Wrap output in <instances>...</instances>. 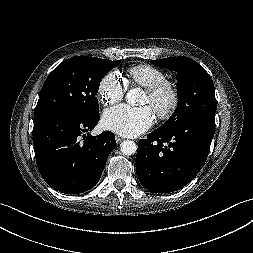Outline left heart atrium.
Here are the masks:
<instances>
[{"instance_id": "left-heart-atrium-1", "label": "left heart atrium", "mask_w": 253, "mask_h": 253, "mask_svg": "<svg viewBox=\"0 0 253 253\" xmlns=\"http://www.w3.org/2000/svg\"><path fill=\"white\" fill-rule=\"evenodd\" d=\"M154 119V111L151 106L119 105L103 113L102 125L105 129L119 135L135 137L149 129Z\"/></svg>"}]
</instances>
